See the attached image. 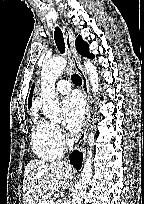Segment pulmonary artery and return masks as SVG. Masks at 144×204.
<instances>
[{
	"instance_id": "obj_1",
	"label": "pulmonary artery",
	"mask_w": 144,
	"mask_h": 204,
	"mask_svg": "<svg viewBox=\"0 0 144 204\" xmlns=\"http://www.w3.org/2000/svg\"><path fill=\"white\" fill-rule=\"evenodd\" d=\"M71 90L70 84L66 80H60L56 85V91L59 94H67Z\"/></svg>"
}]
</instances>
